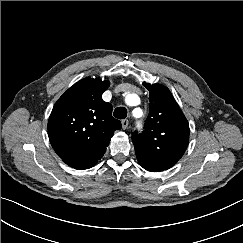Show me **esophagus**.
<instances>
[{
    "mask_svg": "<svg viewBox=\"0 0 243 243\" xmlns=\"http://www.w3.org/2000/svg\"><path fill=\"white\" fill-rule=\"evenodd\" d=\"M121 123H122L123 129H127L128 128V125H129V120L128 119H123Z\"/></svg>",
    "mask_w": 243,
    "mask_h": 243,
    "instance_id": "obj_1",
    "label": "esophagus"
}]
</instances>
